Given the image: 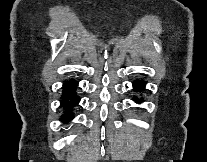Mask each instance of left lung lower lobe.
Returning a JSON list of instances; mask_svg holds the SVG:
<instances>
[{"instance_id":"obj_1","label":"left lung lower lobe","mask_w":207,"mask_h":162,"mask_svg":"<svg viewBox=\"0 0 207 162\" xmlns=\"http://www.w3.org/2000/svg\"><path fill=\"white\" fill-rule=\"evenodd\" d=\"M133 87L136 91H143L145 87V82L143 80H140V81L137 80L133 83ZM134 101H136L137 103H140L142 99L134 98Z\"/></svg>"}]
</instances>
